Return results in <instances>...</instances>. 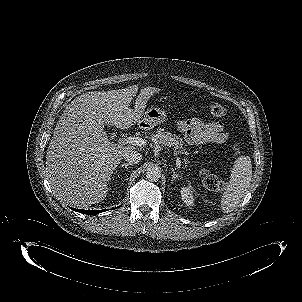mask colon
Wrapping results in <instances>:
<instances>
[{"instance_id":"1","label":"colon","mask_w":302,"mask_h":302,"mask_svg":"<svg viewBox=\"0 0 302 302\" xmlns=\"http://www.w3.org/2000/svg\"><path fill=\"white\" fill-rule=\"evenodd\" d=\"M210 114L215 118L223 117L226 114V108L217 102H214L209 107ZM235 154L238 155L240 153V149L238 146L234 147ZM203 183L206 188L209 190H219L222 188V182L209 170L204 169L203 172Z\"/></svg>"}]
</instances>
